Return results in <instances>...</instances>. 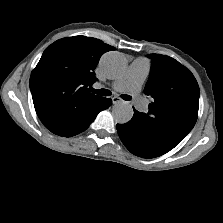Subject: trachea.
I'll list each match as a JSON object with an SVG mask.
<instances>
[{"mask_svg": "<svg viewBox=\"0 0 223 223\" xmlns=\"http://www.w3.org/2000/svg\"><path fill=\"white\" fill-rule=\"evenodd\" d=\"M90 91L93 92V93H96L98 95H101V96H110L111 95V91L108 90V89L96 90V89L91 88ZM121 98L126 100V101L131 100V96L126 95V94L121 95Z\"/></svg>", "mask_w": 223, "mask_h": 223, "instance_id": "obj_1", "label": "trachea"}]
</instances>
